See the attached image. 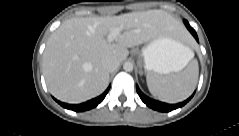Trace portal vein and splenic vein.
<instances>
[{"label":"portal vein and splenic vein","mask_w":239,"mask_h":136,"mask_svg":"<svg viewBox=\"0 0 239 136\" xmlns=\"http://www.w3.org/2000/svg\"><path fill=\"white\" fill-rule=\"evenodd\" d=\"M121 31H122V28H119V27L112 28L110 33L107 36V41L113 42L120 35Z\"/></svg>","instance_id":"18ae733b"}]
</instances>
